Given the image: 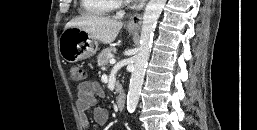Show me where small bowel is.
<instances>
[{"instance_id":"obj_1","label":"small bowel","mask_w":257,"mask_h":130,"mask_svg":"<svg viewBox=\"0 0 257 130\" xmlns=\"http://www.w3.org/2000/svg\"><path fill=\"white\" fill-rule=\"evenodd\" d=\"M104 91L99 83L85 81L77 87L76 107L80 116V123L84 130L90 129V119L87 111L93 108L94 121L98 125H104L109 119L107 109L96 106L97 98L103 97Z\"/></svg>"}]
</instances>
